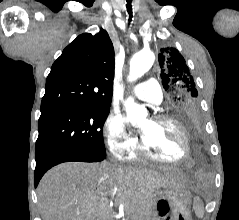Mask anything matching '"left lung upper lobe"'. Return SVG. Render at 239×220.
I'll use <instances>...</instances> for the list:
<instances>
[{"instance_id": "1", "label": "left lung upper lobe", "mask_w": 239, "mask_h": 220, "mask_svg": "<svg viewBox=\"0 0 239 220\" xmlns=\"http://www.w3.org/2000/svg\"><path fill=\"white\" fill-rule=\"evenodd\" d=\"M161 79L170 99V112L177 118L185 113L198 112V92L183 56L176 48H163L158 56Z\"/></svg>"}]
</instances>
